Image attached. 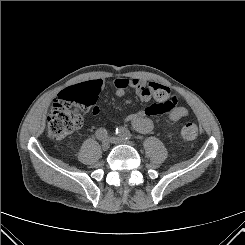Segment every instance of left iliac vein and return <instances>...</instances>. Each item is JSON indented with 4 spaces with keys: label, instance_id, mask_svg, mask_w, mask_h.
<instances>
[{
    "label": "left iliac vein",
    "instance_id": "1",
    "mask_svg": "<svg viewBox=\"0 0 245 245\" xmlns=\"http://www.w3.org/2000/svg\"><path fill=\"white\" fill-rule=\"evenodd\" d=\"M108 140L111 143H113V144H128V145H133V143L130 140L123 139V138H120V137H110Z\"/></svg>",
    "mask_w": 245,
    "mask_h": 245
}]
</instances>
